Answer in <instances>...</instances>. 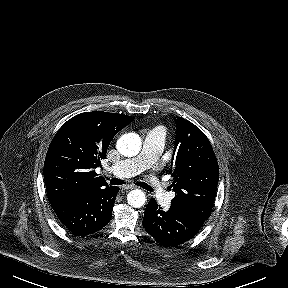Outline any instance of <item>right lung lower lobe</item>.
<instances>
[{
	"mask_svg": "<svg viewBox=\"0 0 288 288\" xmlns=\"http://www.w3.org/2000/svg\"><path fill=\"white\" fill-rule=\"evenodd\" d=\"M118 191V187L107 186L52 204V208L69 231L77 236H85L99 231L109 223Z\"/></svg>",
	"mask_w": 288,
	"mask_h": 288,
	"instance_id": "obj_1",
	"label": "right lung lower lobe"
}]
</instances>
